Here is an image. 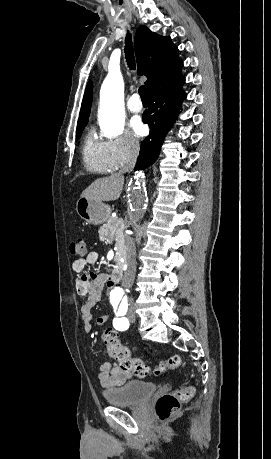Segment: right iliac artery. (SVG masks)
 Masks as SVG:
<instances>
[{
	"label": "right iliac artery",
	"instance_id": "1",
	"mask_svg": "<svg viewBox=\"0 0 271 459\" xmlns=\"http://www.w3.org/2000/svg\"><path fill=\"white\" fill-rule=\"evenodd\" d=\"M111 302H112V303H115L116 305H118V303H119V301H115V302L111 301Z\"/></svg>",
	"mask_w": 271,
	"mask_h": 459
}]
</instances>
